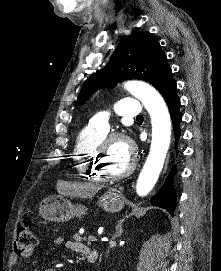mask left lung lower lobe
Here are the masks:
<instances>
[{
    "mask_svg": "<svg viewBox=\"0 0 221 271\" xmlns=\"http://www.w3.org/2000/svg\"><path fill=\"white\" fill-rule=\"evenodd\" d=\"M177 85L174 82L170 83L162 92L161 95L165 99L169 111L171 113L174 122L175 138L180 136L179 124L181 121V115L179 112L180 99L176 95ZM176 173V166L171 170L169 177L166 179L164 186L161 190L151 199L152 205L160 206L166 209L170 214H174L176 195L172 187V183H169L173 174Z\"/></svg>",
    "mask_w": 221,
    "mask_h": 271,
    "instance_id": "left-lung-lower-lobe-1",
    "label": "left lung lower lobe"
}]
</instances>
